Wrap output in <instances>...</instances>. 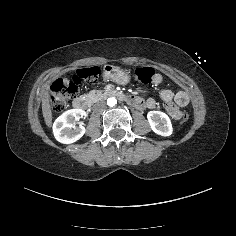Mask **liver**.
<instances>
[{"instance_id": "1", "label": "liver", "mask_w": 236, "mask_h": 236, "mask_svg": "<svg viewBox=\"0 0 236 236\" xmlns=\"http://www.w3.org/2000/svg\"><path fill=\"white\" fill-rule=\"evenodd\" d=\"M47 90H49V87H47ZM42 113L45 120V123L48 127L52 126V111L49 104V93L48 91L44 92L43 98H42Z\"/></svg>"}]
</instances>
